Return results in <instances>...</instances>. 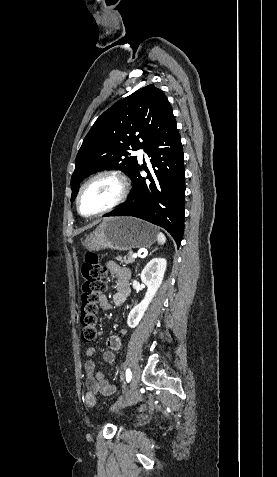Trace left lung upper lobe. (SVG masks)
<instances>
[{"mask_svg":"<svg viewBox=\"0 0 277 477\" xmlns=\"http://www.w3.org/2000/svg\"><path fill=\"white\" fill-rule=\"evenodd\" d=\"M173 117L167 97L154 85L112 105L95 121L79 149L71 177V202L79 183L96 171L119 169L131 177L139 164L129 150L144 148Z\"/></svg>","mask_w":277,"mask_h":477,"instance_id":"1","label":"left lung upper lobe"}]
</instances>
